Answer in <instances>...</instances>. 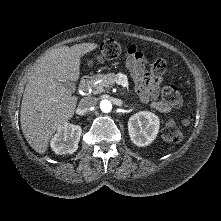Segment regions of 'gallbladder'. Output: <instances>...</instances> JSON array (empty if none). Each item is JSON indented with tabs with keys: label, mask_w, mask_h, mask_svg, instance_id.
Returning <instances> with one entry per match:
<instances>
[{
	"label": "gallbladder",
	"mask_w": 221,
	"mask_h": 221,
	"mask_svg": "<svg viewBox=\"0 0 221 221\" xmlns=\"http://www.w3.org/2000/svg\"><path fill=\"white\" fill-rule=\"evenodd\" d=\"M61 84L65 87V88H67L68 90H70V91H75V89H76V86H75V84L73 83V82H71V81H61Z\"/></svg>",
	"instance_id": "1"
}]
</instances>
